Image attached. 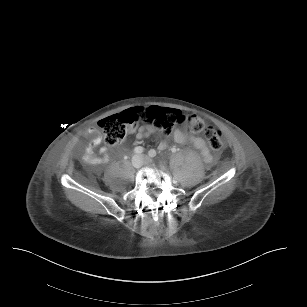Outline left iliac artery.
Listing matches in <instances>:
<instances>
[{
	"label": "left iliac artery",
	"instance_id": "obj_1",
	"mask_svg": "<svg viewBox=\"0 0 307 307\" xmlns=\"http://www.w3.org/2000/svg\"><path fill=\"white\" fill-rule=\"evenodd\" d=\"M149 156L150 157H155L156 156V151L154 149H151L149 152H148Z\"/></svg>",
	"mask_w": 307,
	"mask_h": 307
}]
</instances>
